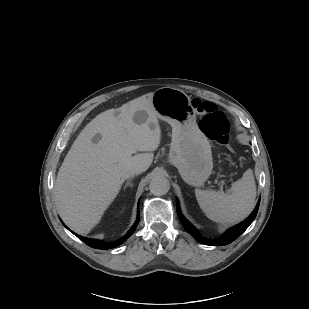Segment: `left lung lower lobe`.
<instances>
[{
    "instance_id": "1",
    "label": "left lung lower lobe",
    "mask_w": 309,
    "mask_h": 309,
    "mask_svg": "<svg viewBox=\"0 0 309 309\" xmlns=\"http://www.w3.org/2000/svg\"><path fill=\"white\" fill-rule=\"evenodd\" d=\"M260 204V199L254 209V211L251 213V215L242 223L234 226L233 228L229 229L227 232H225L222 237L218 240H206L202 238L196 229L182 216L179 202L177 201V214L179 217L180 222L184 226L185 230L190 233L195 239H197L199 242L210 245V246H223L231 243L234 241L237 237H239L247 228L248 226L253 222V220L256 217V214L258 212Z\"/></svg>"
}]
</instances>
